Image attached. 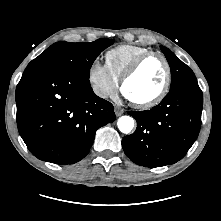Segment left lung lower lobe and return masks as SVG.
<instances>
[{
    "label": "left lung lower lobe",
    "mask_w": 221,
    "mask_h": 221,
    "mask_svg": "<svg viewBox=\"0 0 221 221\" xmlns=\"http://www.w3.org/2000/svg\"><path fill=\"white\" fill-rule=\"evenodd\" d=\"M202 106L203 95L198 83L188 82L171 89L151 110L129 111L137 121V128L122 140L125 154L146 167L176 163L197 139Z\"/></svg>",
    "instance_id": "1"
}]
</instances>
